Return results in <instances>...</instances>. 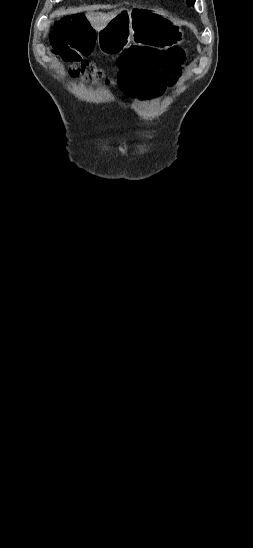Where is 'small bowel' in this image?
Masks as SVG:
<instances>
[{
  "instance_id": "c3829d8e",
  "label": "small bowel",
  "mask_w": 253,
  "mask_h": 548,
  "mask_svg": "<svg viewBox=\"0 0 253 548\" xmlns=\"http://www.w3.org/2000/svg\"><path fill=\"white\" fill-rule=\"evenodd\" d=\"M173 84H174V83H170L169 85H173ZM128 92H129V91H128ZM136 97L140 98L141 96H136ZM148 97H149V99H153V98H157V97H159V96H148Z\"/></svg>"
}]
</instances>
